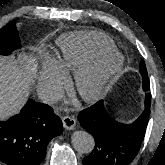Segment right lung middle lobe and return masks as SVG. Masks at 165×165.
Returning a JSON list of instances; mask_svg holds the SVG:
<instances>
[{"label": "right lung middle lobe", "instance_id": "obj_1", "mask_svg": "<svg viewBox=\"0 0 165 165\" xmlns=\"http://www.w3.org/2000/svg\"><path fill=\"white\" fill-rule=\"evenodd\" d=\"M20 40L15 22L4 26L0 30V54L8 55L13 50L20 48Z\"/></svg>", "mask_w": 165, "mask_h": 165}]
</instances>
